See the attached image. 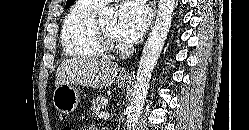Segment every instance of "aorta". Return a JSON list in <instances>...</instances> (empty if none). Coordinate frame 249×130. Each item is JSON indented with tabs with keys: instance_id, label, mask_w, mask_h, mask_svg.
Here are the masks:
<instances>
[{
	"instance_id": "1",
	"label": "aorta",
	"mask_w": 249,
	"mask_h": 130,
	"mask_svg": "<svg viewBox=\"0 0 249 130\" xmlns=\"http://www.w3.org/2000/svg\"><path fill=\"white\" fill-rule=\"evenodd\" d=\"M174 8L175 0H159L158 2L157 17L143 48L137 69L134 93L128 107L126 121L127 130H135L136 124L140 118L148 93L152 72L171 27ZM112 13V9L106 8L103 10L102 15H109Z\"/></svg>"
}]
</instances>
